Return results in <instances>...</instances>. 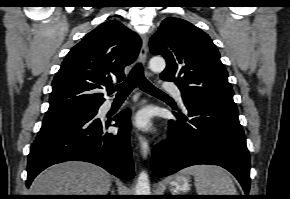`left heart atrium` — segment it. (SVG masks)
Segmentation results:
<instances>
[{"label": "left heart atrium", "instance_id": "39dd6f15", "mask_svg": "<svg viewBox=\"0 0 290 199\" xmlns=\"http://www.w3.org/2000/svg\"><path fill=\"white\" fill-rule=\"evenodd\" d=\"M133 123L140 129L148 130L152 126L151 114L147 109L139 111L133 118Z\"/></svg>", "mask_w": 290, "mask_h": 199}]
</instances>
